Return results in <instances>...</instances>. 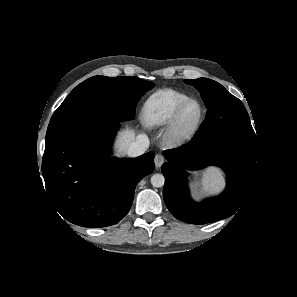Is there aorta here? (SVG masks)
Listing matches in <instances>:
<instances>
[{
  "label": "aorta",
  "instance_id": "aorta-1",
  "mask_svg": "<svg viewBox=\"0 0 297 297\" xmlns=\"http://www.w3.org/2000/svg\"><path fill=\"white\" fill-rule=\"evenodd\" d=\"M165 178L162 174H154L151 177V184L154 187H162L164 186Z\"/></svg>",
  "mask_w": 297,
  "mask_h": 297
}]
</instances>
